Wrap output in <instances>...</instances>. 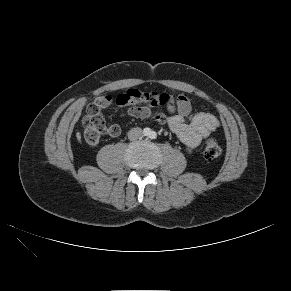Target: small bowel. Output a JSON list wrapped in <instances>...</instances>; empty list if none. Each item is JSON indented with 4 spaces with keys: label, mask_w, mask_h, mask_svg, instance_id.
<instances>
[{
    "label": "small bowel",
    "mask_w": 291,
    "mask_h": 291,
    "mask_svg": "<svg viewBox=\"0 0 291 291\" xmlns=\"http://www.w3.org/2000/svg\"><path fill=\"white\" fill-rule=\"evenodd\" d=\"M131 94L132 98L128 100V115L134 118H154L160 124H166L170 130L179 138L188 152L193 151L200 143L214 132L220 125L218 118L208 112L192 113V104L186 94L174 96L170 93L141 92L130 88L122 95ZM168 94L170 96V106L167 113L154 111L147 101H138L137 95H159ZM99 114L113 103L110 95L99 96L93 102ZM103 118V117H102ZM117 132L111 136H117L120 133L118 125L112 124Z\"/></svg>",
    "instance_id": "obj_1"
}]
</instances>
